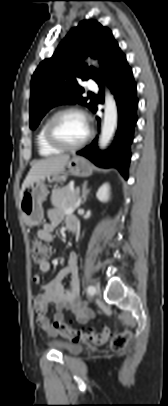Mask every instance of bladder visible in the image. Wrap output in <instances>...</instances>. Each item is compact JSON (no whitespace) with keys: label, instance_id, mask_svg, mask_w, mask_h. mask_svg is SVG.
<instances>
[{"label":"bladder","instance_id":"bladder-1","mask_svg":"<svg viewBox=\"0 0 168 406\" xmlns=\"http://www.w3.org/2000/svg\"><path fill=\"white\" fill-rule=\"evenodd\" d=\"M83 348L79 345L68 344L61 347V351L66 355H78L82 352Z\"/></svg>","mask_w":168,"mask_h":406}]
</instances>
